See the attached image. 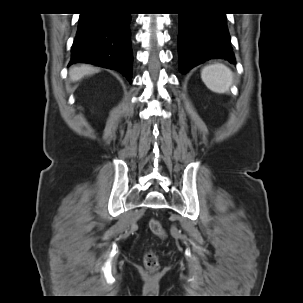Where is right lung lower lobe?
<instances>
[{
  "instance_id": "1",
  "label": "right lung lower lobe",
  "mask_w": 303,
  "mask_h": 303,
  "mask_svg": "<svg viewBox=\"0 0 303 303\" xmlns=\"http://www.w3.org/2000/svg\"><path fill=\"white\" fill-rule=\"evenodd\" d=\"M130 22L128 13L93 10L81 14L68 66L91 63L119 71L131 81Z\"/></svg>"
}]
</instances>
